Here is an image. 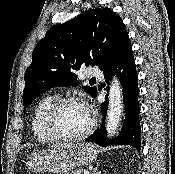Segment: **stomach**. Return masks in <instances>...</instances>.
I'll return each mask as SVG.
<instances>
[{"mask_svg": "<svg viewBox=\"0 0 175 174\" xmlns=\"http://www.w3.org/2000/svg\"><path fill=\"white\" fill-rule=\"evenodd\" d=\"M98 157L93 145L82 143L73 147H57L35 151L28 156L27 166L34 172L49 171L67 174L75 167L90 165Z\"/></svg>", "mask_w": 175, "mask_h": 174, "instance_id": "stomach-1", "label": "stomach"}]
</instances>
